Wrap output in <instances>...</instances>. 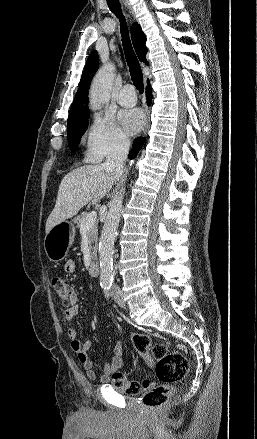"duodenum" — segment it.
I'll use <instances>...</instances> for the list:
<instances>
[{"instance_id": "1", "label": "duodenum", "mask_w": 257, "mask_h": 439, "mask_svg": "<svg viewBox=\"0 0 257 439\" xmlns=\"http://www.w3.org/2000/svg\"><path fill=\"white\" fill-rule=\"evenodd\" d=\"M89 273L93 277H97L100 274V267L95 259H92L89 264Z\"/></svg>"}]
</instances>
